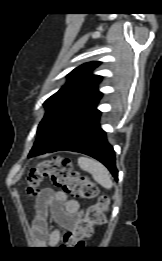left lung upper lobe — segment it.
<instances>
[{
  "instance_id": "5c2ea615",
  "label": "left lung upper lobe",
  "mask_w": 162,
  "mask_h": 261,
  "mask_svg": "<svg viewBox=\"0 0 162 261\" xmlns=\"http://www.w3.org/2000/svg\"><path fill=\"white\" fill-rule=\"evenodd\" d=\"M99 64L94 61L75 68L67 83L45 101L46 114L38 126L30 157L45 153L100 112L96 107L102 93L97 85L102 77L91 73Z\"/></svg>"
}]
</instances>
